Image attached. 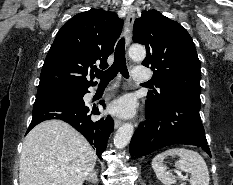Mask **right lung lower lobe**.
Wrapping results in <instances>:
<instances>
[{"mask_svg":"<svg viewBox=\"0 0 233 185\" xmlns=\"http://www.w3.org/2000/svg\"><path fill=\"white\" fill-rule=\"evenodd\" d=\"M81 90V96L51 93L37 95L33 106V118L27 133L44 120H63L84 135L90 144L95 146L97 156L101 158L107 140L114 130V122L110 116L105 120L93 121L91 116L99 115L98 107L85 104L83 96L88 90L87 88ZM101 104L104 106V102Z\"/></svg>","mask_w":233,"mask_h":185,"instance_id":"right-lung-lower-lobe-1","label":"right lung lower lobe"}]
</instances>
